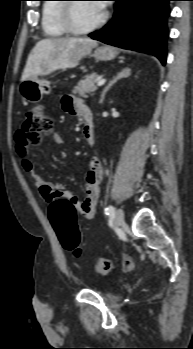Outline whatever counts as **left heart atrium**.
<instances>
[{"label": "left heart atrium", "mask_w": 193, "mask_h": 349, "mask_svg": "<svg viewBox=\"0 0 193 349\" xmlns=\"http://www.w3.org/2000/svg\"><path fill=\"white\" fill-rule=\"evenodd\" d=\"M96 6L100 9V10H104V8L106 7V3L103 1H99L96 3Z\"/></svg>", "instance_id": "1"}]
</instances>
